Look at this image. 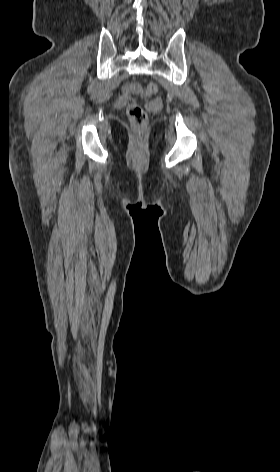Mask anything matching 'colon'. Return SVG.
Masks as SVG:
<instances>
[{
  "instance_id": "5ec220e1",
  "label": "colon",
  "mask_w": 280,
  "mask_h": 472,
  "mask_svg": "<svg viewBox=\"0 0 280 472\" xmlns=\"http://www.w3.org/2000/svg\"><path fill=\"white\" fill-rule=\"evenodd\" d=\"M159 91V87L155 82H150L147 86L142 90L141 94L145 97H151L157 94ZM127 115L135 127L136 130L142 131L146 127L148 123V117L146 112L143 110L141 106H139L135 101H131L127 105Z\"/></svg>"
}]
</instances>
